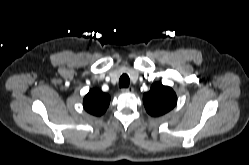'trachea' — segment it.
<instances>
[{
  "label": "trachea",
  "instance_id": "obj_1",
  "mask_svg": "<svg viewBox=\"0 0 249 165\" xmlns=\"http://www.w3.org/2000/svg\"><path fill=\"white\" fill-rule=\"evenodd\" d=\"M129 84H130L129 76L127 74L121 75V77L119 79V87L127 88L129 86Z\"/></svg>",
  "mask_w": 249,
  "mask_h": 165
}]
</instances>
